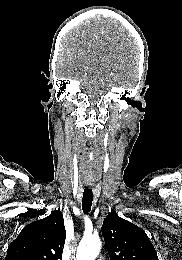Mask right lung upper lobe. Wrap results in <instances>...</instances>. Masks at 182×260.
Listing matches in <instances>:
<instances>
[{"mask_svg": "<svg viewBox=\"0 0 182 260\" xmlns=\"http://www.w3.org/2000/svg\"><path fill=\"white\" fill-rule=\"evenodd\" d=\"M65 239L63 214L58 209L26 225L9 245L5 260H61Z\"/></svg>", "mask_w": 182, "mask_h": 260, "instance_id": "1", "label": "right lung upper lobe"}]
</instances>
